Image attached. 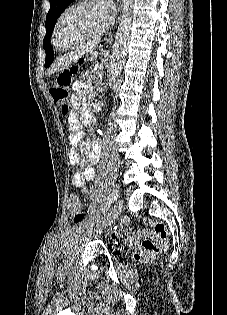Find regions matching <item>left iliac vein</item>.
<instances>
[{
	"label": "left iliac vein",
	"instance_id": "obj_1",
	"mask_svg": "<svg viewBox=\"0 0 227 315\" xmlns=\"http://www.w3.org/2000/svg\"><path fill=\"white\" fill-rule=\"evenodd\" d=\"M112 192L116 194V200L112 209L110 210L109 214L107 215L105 219V222H104L105 227L110 226L119 217L123 209V201L121 199H118L119 197L118 189H114Z\"/></svg>",
	"mask_w": 227,
	"mask_h": 315
}]
</instances>
